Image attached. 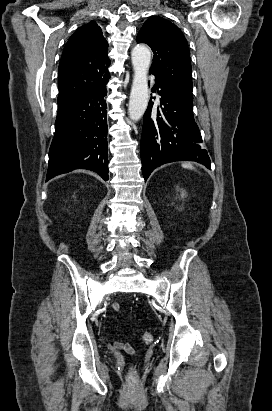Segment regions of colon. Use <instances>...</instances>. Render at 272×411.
<instances>
[{"instance_id":"colon-1","label":"colon","mask_w":272,"mask_h":411,"mask_svg":"<svg viewBox=\"0 0 272 411\" xmlns=\"http://www.w3.org/2000/svg\"><path fill=\"white\" fill-rule=\"evenodd\" d=\"M142 339L145 343H151L154 339V335L151 332H145L142 336ZM128 383L130 386H136L138 384V375L134 368L129 371Z\"/></svg>"}]
</instances>
